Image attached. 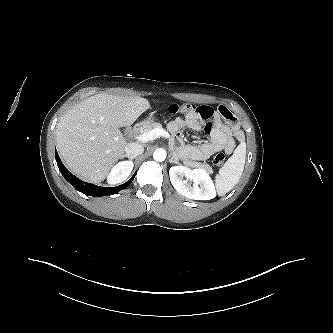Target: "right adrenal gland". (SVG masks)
<instances>
[{
    "label": "right adrenal gland",
    "instance_id": "1",
    "mask_svg": "<svg viewBox=\"0 0 333 333\" xmlns=\"http://www.w3.org/2000/svg\"><path fill=\"white\" fill-rule=\"evenodd\" d=\"M128 158L129 160H132V159H134V158H136V157H133V156H129V155H127V154H125L124 156H123V158Z\"/></svg>",
    "mask_w": 333,
    "mask_h": 333
}]
</instances>
